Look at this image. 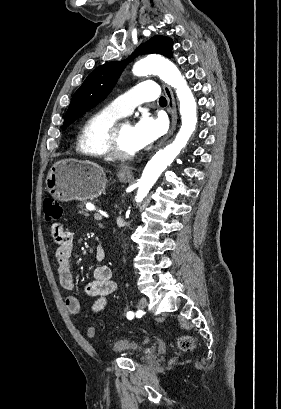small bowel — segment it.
I'll list each match as a JSON object with an SVG mask.
<instances>
[{
    "label": "small bowel",
    "mask_w": 281,
    "mask_h": 409,
    "mask_svg": "<svg viewBox=\"0 0 281 409\" xmlns=\"http://www.w3.org/2000/svg\"><path fill=\"white\" fill-rule=\"evenodd\" d=\"M52 237L57 244L55 257L58 263V275L61 287L64 290H72L74 279L71 271V257L74 236L61 223H55L51 229ZM94 255L98 261L104 260L106 250L101 244H96ZM116 283L113 280V271L109 266L99 265L93 270V279L87 285L88 295L96 297L94 310L101 312L106 306V298L116 291ZM65 305L70 314L80 312L79 300L74 296L65 299Z\"/></svg>",
    "instance_id": "c3829d8e"
}]
</instances>
